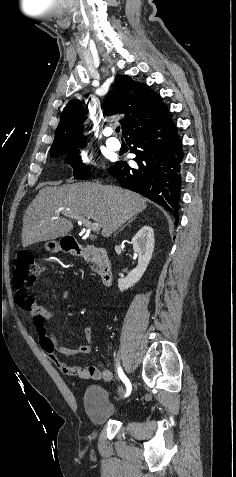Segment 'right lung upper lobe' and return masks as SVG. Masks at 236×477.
<instances>
[{"mask_svg": "<svg viewBox=\"0 0 236 477\" xmlns=\"http://www.w3.org/2000/svg\"><path fill=\"white\" fill-rule=\"evenodd\" d=\"M103 107L107 116L126 115L119 121L125 139L134 131L155 125L168 114L159 95L125 75L116 76L113 90L105 98ZM83 120L82 102L70 101L62 112L50 152L73 151L84 145Z\"/></svg>", "mask_w": 236, "mask_h": 477, "instance_id": "cb5924a9", "label": "right lung upper lobe"}]
</instances>
